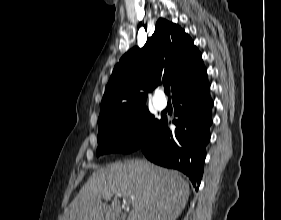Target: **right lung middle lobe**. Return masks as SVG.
I'll return each instance as SVG.
<instances>
[{"instance_id": "1", "label": "right lung middle lobe", "mask_w": 281, "mask_h": 220, "mask_svg": "<svg viewBox=\"0 0 281 220\" xmlns=\"http://www.w3.org/2000/svg\"><path fill=\"white\" fill-rule=\"evenodd\" d=\"M160 121L147 108L104 121L98 125L97 156L138 150L153 135Z\"/></svg>"}]
</instances>
